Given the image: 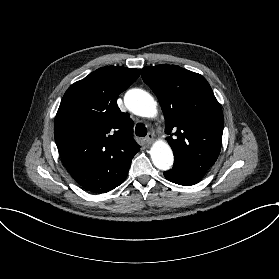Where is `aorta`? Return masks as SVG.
Returning <instances> with one entry per match:
<instances>
[{
  "label": "aorta",
  "mask_w": 279,
  "mask_h": 279,
  "mask_svg": "<svg viewBox=\"0 0 279 279\" xmlns=\"http://www.w3.org/2000/svg\"><path fill=\"white\" fill-rule=\"evenodd\" d=\"M125 106L135 115L153 118L157 114L154 98L142 89H130L124 96ZM154 166L160 170H168L173 165L174 156L166 141H157L150 150Z\"/></svg>",
  "instance_id": "762f6f07"
}]
</instances>
